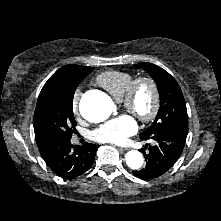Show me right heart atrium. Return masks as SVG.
I'll return each instance as SVG.
<instances>
[{
	"instance_id": "right-heart-atrium-1",
	"label": "right heart atrium",
	"mask_w": 221,
	"mask_h": 221,
	"mask_svg": "<svg viewBox=\"0 0 221 221\" xmlns=\"http://www.w3.org/2000/svg\"><path fill=\"white\" fill-rule=\"evenodd\" d=\"M80 97H81V91L79 89H77L73 95H72V99H71V108L72 111L75 114L79 113V101H80Z\"/></svg>"
}]
</instances>
